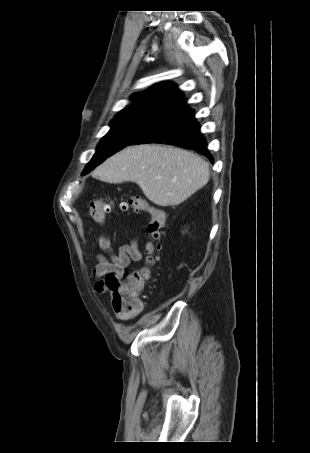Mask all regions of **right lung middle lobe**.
<instances>
[{
	"mask_svg": "<svg viewBox=\"0 0 310 453\" xmlns=\"http://www.w3.org/2000/svg\"><path fill=\"white\" fill-rule=\"evenodd\" d=\"M157 117L118 116L112 120L111 130L99 142L96 153L84 169L83 175L90 172L107 157L126 147L143 132Z\"/></svg>",
	"mask_w": 310,
	"mask_h": 453,
	"instance_id": "1",
	"label": "right lung middle lobe"
}]
</instances>
